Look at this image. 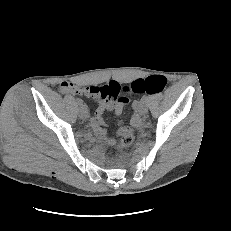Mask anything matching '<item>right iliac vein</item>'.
<instances>
[{
    "label": "right iliac vein",
    "mask_w": 231,
    "mask_h": 231,
    "mask_svg": "<svg viewBox=\"0 0 231 231\" xmlns=\"http://www.w3.org/2000/svg\"><path fill=\"white\" fill-rule=\"evenodd\" d=\"M78 113H79V117L81 119H86L88 117V110H87V107L85 105H81L79 107V110H78Z\"/></svg>",
    "instance_id": "63e3f726"
}]
</instances>
